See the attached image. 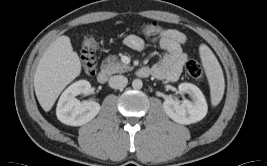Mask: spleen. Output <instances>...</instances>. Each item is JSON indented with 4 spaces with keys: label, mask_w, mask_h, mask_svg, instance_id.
Returning a JSON list of instances; mask_svg holds the SVG:
<instances>
[{
    "label": "spleen",
    "mask_w": 267,
    "mask_h": 166,
    "mask_svg": "<svg viewBox=\"0 0 267 166\" xmlns=\"http://www.w3.org/2000/svg\"><path fill=\"white\" fill-rule=\"evenodd\" d=\"M200 56L210 85L211 103L216 106L222 100L225 81L223 71L212 51L205 45L200 47Z\"/></svg>",
    "instance_id": "obj_1"
}]
</instances>
